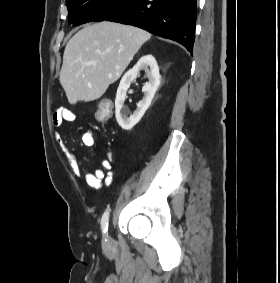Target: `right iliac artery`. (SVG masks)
Segmentation results:
<instances>
[{
    "mask_svg": "<svg viewBox=\"0 0 280 283\" xmlns=\"http://www.w3.org/2000/svg\"><path fill=\"white\" fill-rule=\"evenodd\" d=\"M108 221H109V209H107L101 219V228L103 234H106L108 231Z\"/></svg>",
    "mask_w": 280,
    "mask_h": 283,
    "instance_id": "right-iliac-artery-1",
    "label": "right iliac artery"
}]
</instances>
